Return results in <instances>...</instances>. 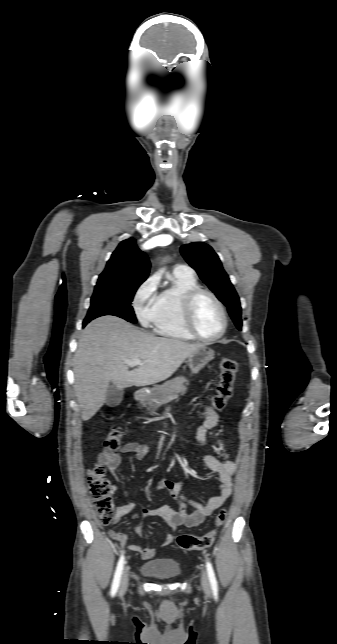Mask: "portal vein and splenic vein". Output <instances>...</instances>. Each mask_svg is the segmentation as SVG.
<instances>
[{
    "mask_svg": "<svg viewBox=\"0 0 337 644\" xmlns=\"http://www.w3.org/2000/svg\"><path fill=\"white\" fill-rule=\"evenodd\" d=\"M125 363L128 366L133 367V366H136V365H142L144 362L142 360H140V359H132V360H126Z\"/></svg>",
    "mask_w": 337,
    "mask_h": 644,
    "instance_id": "portal-vein-and-splenic-vein-1",
    "label": "portal vein and splenic vein"
}]
</instances>
